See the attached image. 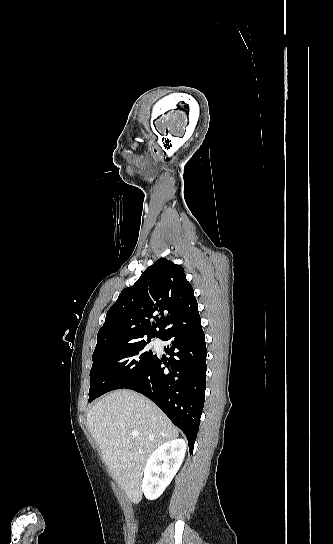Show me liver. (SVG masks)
I'll use <instances>...</instances> for the list:
<instances>
[{"instance_id": "6515ba94", "label": "liver", "mask_w": 333, "mask_h": 544, "mask_svg": "<svg viewBox=\"0 0 333 544\" xmlns=\"http://www.w3.org/2000/svg\"><path fill=\"white\" fill-rule=\"evenodd\" d=\"M87 424L113 478L138 503L145 462L159 445L176 439L178 430L150 400L124 389L99 400L88 412Z\"/></svg>"}]
</instances>
